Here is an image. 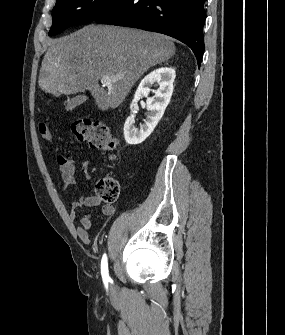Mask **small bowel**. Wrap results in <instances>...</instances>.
<instances>
[{
    "label": "small bowel",
    "instance_id": "1",
    "mask_svg": "<svg viewBox=\"0 0 285 335\" xmlns=\"http://www.w3.org/2000/svg\"><path fill=\"white\" fill-rule=\"evenodd\" d=\"M57 163L60 169L62 186L64 190H68L76 183V165L73 161L64 156H58ZM80 170L84 178H90L89 163L87 161L81 163ZM101 203V200L95 196L81 197L77 200H74L71 205L69 217L74 221L78 217L79 209L96 207ZM113 212L114 206L112 204L105 203L103 205L102 213L104 215H111ZM79 222L80 227L77 230V234L83 243L88 244L91 242L92 216L90 214L82 215L79 219Z\"/></svg>",
    "mask_w": 285,
    "mask_h": 335
}]
</instances>
